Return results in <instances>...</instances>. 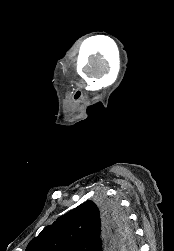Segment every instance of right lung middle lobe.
I'll list each match as a JSON object with an SVG mask.
<instances>
[{
  "instance_id": "right-lung-middle-lobe-1",
  "label": "right lung middle lobe",
  "mask_w": 174,
  "mask_h": 251,
  "mask_svg": "<svg viewBox=\"0 0 174 251\" xmlns=\"http://www.w3.org/2000/svg\"><path fill=\"white\" fill-rule=\"evenodd\" d=\"M97 206L102 211L106 220L115 227V234L122 239L120 250L134 249L135 240L133 231L127 215L120 204L115 200L102 197L97 201Z\"/></svg>"
}]
</instances>
